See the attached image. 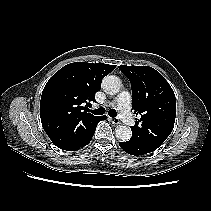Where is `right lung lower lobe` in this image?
Masks as SVG:
<instances>
[{
  "label": "right lung lower lobe",
  "mask_w": 211,
  "mask_h": 211,
  "mask_svg": "<svg viewBox=\"0 0 211 211\" xmlns=\"http://www.w3.org/2000/svg\"><path fill=\"white\" fill-rule=\"evenodd\" d=\"M106 116H102L100 117L95 123L94 125L80 138V140L71 148L69 149H65L66 151H76L84 146H86L92 139L95 130H96V126L97 124L101 121V120H105Z\"/></svg>",
  "instance_id": "right-lung-lower-lobe-1"
}]
</instances>
